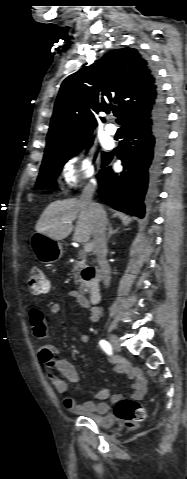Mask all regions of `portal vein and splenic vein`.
<instances>
[{"instance_id":"portal-vein-and-splenic-vein-1","label":"portal vein and splenic vein","mask_w":187,"mask_h":479,"mask_svg":"<svg viewBox=\"0 0 187 479\" xmlns=\"http://www.w3.org/2000/svg\"><path fill=\"white\" fill-rule=\"evenodd\" d=\"M92 248H93V245H92V244H85V246H84V251H85V252H91V251H92Z\"/></svg>"}]
</instances>
